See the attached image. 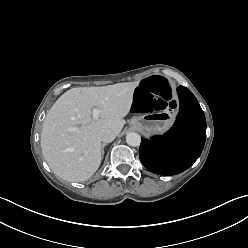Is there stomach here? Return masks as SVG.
Instances as JSON below:
<instances>
[{
	"instance_id": "1",
	"label": "stomach",
	"mask_w": 248,
	"mask_h": 248,
	"mask_svg": "<svg viewBox=\"0 0 248 248\" xmlns=\"http://www.w3.org/2000/svg\"><path fill=\"white\" fill-rule=\"evenodd\" d=\"M176 115L173 112H145L131 119V125L145 134L161 133L173 125Z\"/></svg>"
}]
</instances>
